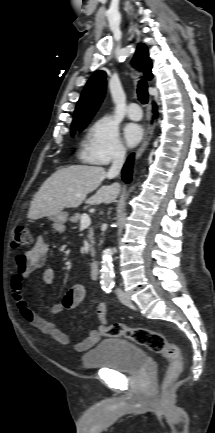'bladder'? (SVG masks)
<instances>
[{
	"label": "bladder",
	"instance_id": "1",
	"mask_svg": "<svg viewBox=\"0 0 215 433\" xmlns=\"http://www.w3.org/2000/svg\"><path fill=\"white\" fill-rule=\"evenodd\" d=\"M86 368H107L118 373H137L148 365L146 353L137 345L121 339L100 341L83 356Z\"/></svg>",
	"mask_w": 215,
	"mask_h": 433
}]
</instances>
